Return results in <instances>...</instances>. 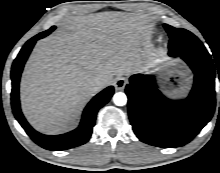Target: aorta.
Segmentation results:
<instances>
[{
    "instance_id": "1",
    "label": "aorta",
    "mask_w": 220,
    "mask_h": 173,
    "mask_svg": "<svg viewBox=\"0 0 220 173\" xmlns=\"http://www.w3.org/2000/svg\"><path fill=\"white\" fill-rule=\"evenodd\" d=\"M113 102L117 106H124L127 103V96L123 92H117L113 96Z\"/></svg>"
}]
</instances>
